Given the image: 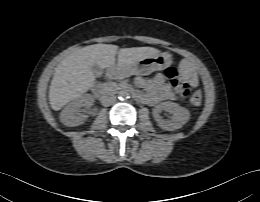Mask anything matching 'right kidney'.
<instances>
[{"label":"right kidney","mask_w":260,"mask_h":202,"mask_svg":"<svg viewBox=\"0 0 260 202\" xmlns=\"http://www.w3.org/2000/svg\"><path fill=\"white\" fill-rule=\"evenodd\" d=\"M94 100L92 95L83 94L69 103L60 113L61 122L68 127L79 126L87 119L89 110L82 113V107L89 108Z\"/></svg>","instance_id":"1"}]
</instances>
